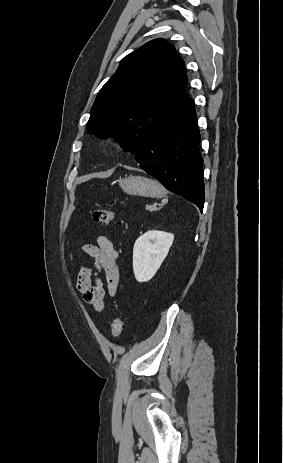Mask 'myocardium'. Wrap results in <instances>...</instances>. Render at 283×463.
Returning a JSON list of instances; mask_svg holds the SVG:
<instances>
[{"label": "myocardium", "instance_id": "obj_1", "mask_svg": "<svg viewBox=\"0 0 283 463\" xmlns=\"http://www.w3.org/2000/svg\"><path fill=\"white\" fill-rule=\"evenodd\" d=\"M119 141V138L117 136H113L108 140V144L110 146L115 145Z\"/></svg>", "mask_w": 283, "mask_h": 463}]
</instances>
